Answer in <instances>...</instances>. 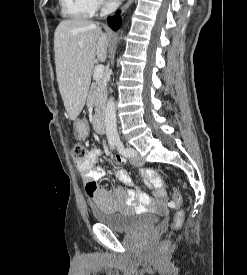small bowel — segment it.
<instances>
[{
  "label": "small bowel",
  "mask_w": 247,
  "mask_h": 275,
  "mask_svg": "<svg viewBox=\"0 0 247 275\" xmlns=\"http://www.w3.org/2000/svg\"><path fill=\"white\" fill-rule=\"evenodd\" d=\"M100 153L99 149H93L84 160L77 162V169L85 184L94 183L96 185L95 192L88 196L97 208L104 212H129L132 210L155 211L157 209L166 211L171 206L163 187V181L158 172L153 169H140V174L144 177L146 184L153 190V199L141 188L134 187L133 179L124 170L117 171L116 176L129 189L117 188L110 191L99 188L98 181L104 176V170L97 165ZM117 161L124 163L125 159L117 156Z\"/></svg>",
  "instance_id": "obj_1"
}]
</instances>
